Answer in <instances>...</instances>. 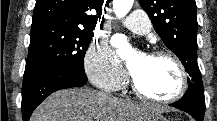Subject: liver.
<instances>
[{"instance_id":"6515ba94","label":"liver","mask_w":217,"mask_h":121,"mask_svg":"<svg viewBox=\"0 0 217 121\" xmlns=\"http://www.w3.org/2000/svg\"><path fill=\"white\" fill-rule=\"evenodd\" d=\"M158 109L88 89H63L47 97L30 121H148Z\"/></svg>"}]
</instances>
